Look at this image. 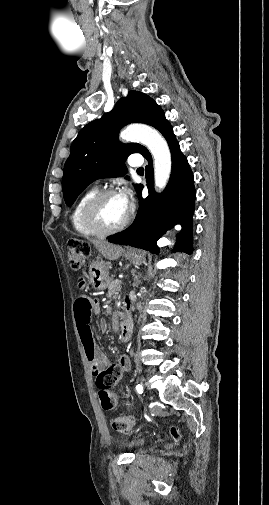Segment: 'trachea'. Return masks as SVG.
I'll use <instances>...</instances> for the list:
<instances>
[{"instance_id":"1","label":"trachea","mask_w":269,"mask_h":505,"mask_svg":"<svg viewBox=\"0 0 269 505\" xmlns=\"http://www.w3.org/2000/svg\"><path fill=\"white\" fill-rule=\"evenodd\" d=\"M138 172L144 171L143 167L137 169Z\"/></svg>"}]
</instances>
